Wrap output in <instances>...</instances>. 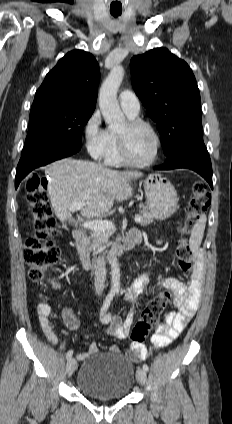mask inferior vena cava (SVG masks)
<instances>
[{
  "label": "inferior vena cava",
  "instance_id": "obj_1",
  "mask_svg": "<svg viewBox=\"0 0 232 424\" xmlns=\"http://www.w3.org/2000/svg\"><path fill=\"white\" fill-rule=\"evenodd\" d=\"M106 273L107 271H106L104 259L98 258L95 264V278H94L95 292L98 296L102 294L105 288Z\"/></svg>",
  "mask_w": 232,
  "mask_h": 424
}]
</instances>
